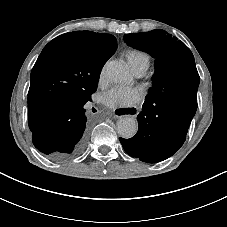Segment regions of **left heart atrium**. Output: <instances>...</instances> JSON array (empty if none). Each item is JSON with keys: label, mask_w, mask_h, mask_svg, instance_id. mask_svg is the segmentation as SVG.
<instances>
[{"label": "left heart atrium", "mask_w": 227, "mask_h": 227, "mask_svg": "<svg viewBox=\"0 0 227 227\" xmlns=\"http://www.w3.org/2000/svg\"><path fill=\"white\" fill-rule=\"evenodd\" d=\"M142 98L140 89L114 87L102 96V101L111 108H128L137 105Z\"/></svg>", "instance_id": "obj_1"}]
</instances>
